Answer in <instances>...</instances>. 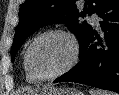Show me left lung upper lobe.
Segmentation results:
<instances>
[{
  "label": "left lung upper lobe",
  "mask_w": 119,
  "mask_h": 95,
  "mask_svg": "<svg viewBox=\"0 0 119 95\" xmlns=\"http://www.w3.org/2000/svg\"><path fill=\"white\" fill-rule=\"evenodd\" d=\"M77 0H26L19 11L20 22L15 30L11 58L24 41L40 27L51 23H65L81 43L91 26L80 22L81 16L97 12L107 0H84L85 7L80 13L75 3Z\"/></svg>",
  "instance_id": "1"
}]
</instances>
